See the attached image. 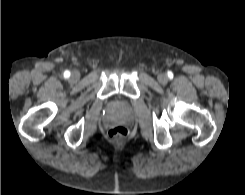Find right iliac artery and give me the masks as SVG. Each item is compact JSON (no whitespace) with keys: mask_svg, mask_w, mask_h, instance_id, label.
Here are the masks:
<instances>
[{"mask_svg":"<svg viewBox=\"0 0 245 195\" xmlns=\"http://www.w3.org/2000/svg\"><path fill=\"white\" fill-rule=\"evenodd\" d=\"M69 76H70V72H69V71H65V72H64V77H65V78H68Z\"/></svg>","mask_w":245,"mask_h":195,"instance_id":"obj_1","label":"right iliac artery"}]
</instances>
